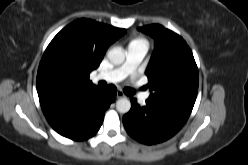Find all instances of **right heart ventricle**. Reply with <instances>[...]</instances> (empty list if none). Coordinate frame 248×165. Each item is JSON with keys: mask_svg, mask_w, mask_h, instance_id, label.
<instances>
[{"mask_svg": "<svg viewBox=\"0 0 248 165\" xmlns=\"http://www.w3.org/2000/svg\"><path fill=\"white\" fill-rule=\"evenodd\" d=\"M132 42H143L144 43V41L142 39H135Z\"/></svg>", "mask_w": 248, "mask_h": 165, "instance_id": "e07e8e85", "label": "right heart ventricle"}]
</instances>
